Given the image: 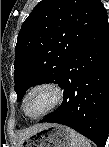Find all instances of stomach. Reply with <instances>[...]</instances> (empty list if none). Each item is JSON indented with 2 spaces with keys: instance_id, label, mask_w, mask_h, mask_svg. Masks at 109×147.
Listing matches in <instances>:
<instances>
[{
  "instance_id": "0dacf381",
  "label": "stomach",
  "mask_w": 109,
  "mask_h": 147,
  "mask_svg": "<svg viewBox=\"0 0 109 147\" xmlns=\"http://www.w3.org/2000/svg\"><path fill=\"white\" fill-rule=\"evenodd\" d=\"M71 129L49 124L21 141V147H69Z\"/></svg>"
}]
</instances>
